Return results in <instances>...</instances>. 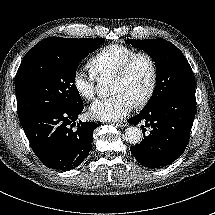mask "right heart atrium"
Returning a JSON list of instances; mask_svg holds the SVG:
<instances>
[{
  "instance_id": "d8ad5b80",
  "label": "right heart atrium",
  "mask_w": 215,
  "mask_h": 215,
  "mask_svg": "<svg viewBox=\"0 0 215 215\" xmlns=\"http://www.w3.org/2000/svg\"><path fill=\"white\" fill-rule=\"evenodd\" d=\"M72 85L80 98L92 101L96 95V79L94 75L87 74L84 70L77 69L72 77Z\"/></svg>"
}]
</instances>
